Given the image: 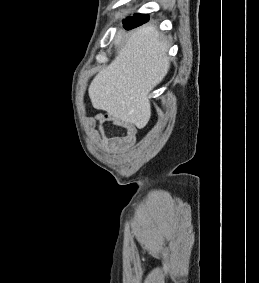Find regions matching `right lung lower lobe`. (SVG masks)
Wrapping results in <instances>:
<instances>
[{
  "instance_id": "right-lung-lower-lobe-1",
  "label": "right lung lower lobe",
  "mask_w": 259,
  "mask_h": 283,
  "mask_svg": "<svg viewBox=\"0 0 259 283\" xmlns=\"http://www.w3.org/2000/svg\"><path fill=\"white\" fill-rule=\"evenodd\" d=\"M149 20V16L146 14H135L132 17H128L124 22L123 26L125 29L130 30L135 27H138Z\"/></svg>"
}]
</instances>
